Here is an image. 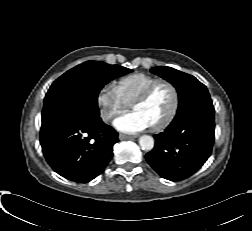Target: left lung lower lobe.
<instances>
[{"mask_svg":"<svg viewBox=\"0 0 252 231\" xmlns=\"http://www.w3.org/2000/svg\"><path fill=\"white\" fill-rule=\"evenodd\" d=\"M214 113L212 103H195L178 111L164 132L154 135L155 147L146 154L150 166L172 181L200 169L212 151Z\"/></svg>","mask_w":252,"mask_h":231,"instance_id":"left-lung-lower-lobe-1","label":"left lung lower lobe"}]
</instances>
